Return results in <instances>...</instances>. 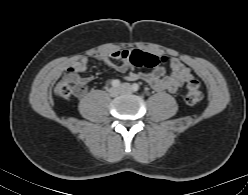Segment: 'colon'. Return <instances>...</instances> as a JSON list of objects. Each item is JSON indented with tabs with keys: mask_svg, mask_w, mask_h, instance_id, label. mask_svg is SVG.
I'll return each mask as SVG.
<instances>
[{
	"mask_svg": "<svg viewBox=\"0 0 248 195\" xmlns=\"http://www.w3.org/2000/svg\"><path fill=\"white\" fill-rule=\"evenodd\" d=\"M127 58L129 63L137 68H154L166 62L165 58L139 50L132 51ZM84 91L85 86L83 81L77 74L73 73L63 77L54 88L55 94L64 100H69L73 96L81 95ZM201 99L202 90L200 84L197 80L192 79L186 86L185 101L189 105H196Z\"/></svg>",
	"mask_w": 248,
	"mask_h": 195,
	"instance_id": "5ec220e1",
	"label": "colon"
}]
</instances>
